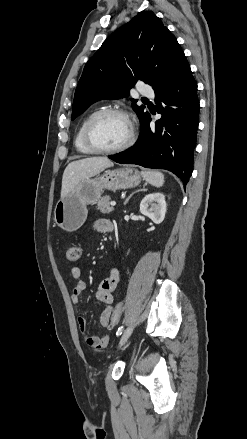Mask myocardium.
Segmentation results:
<instances>
[{"mask_svg":"<svg viewBox=\"0 0 247 439\" xmlns=\"http://www.w3.org/2000/svg\"><path fill=\"white\" fill-rule=\"evenodd\" d=\"M106 116L122 117L128 122V125H129V136H128L127 140L123 144H121L115 148H111V149H104V148L97 146L95 144V142L93 140V136H92V132H93V128H94L95 124L100 119H102ZM135 137H136L135 127H134V124H133L130 116L128 115V113L126 111H124L122 109H116V108H107V109H102V110L97 111L87 121V123L84 127V131H83V141H84L85 145L87 146V148L90 151H92L93 153H97V154H115V153L122 152L133 145V143L135 141Z\"/></svg>","mask_w":247,"mask_h":439,"instance_id":"myocardium-1","label":"myocardium"}]
</instances>
